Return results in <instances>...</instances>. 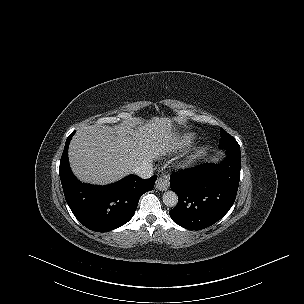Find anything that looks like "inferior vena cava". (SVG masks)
<instances>
[{
    "instance_id": "602c4592",
    "label": "inferior vena cava",
    "mask_w": 304,
    "mask_h": 304,
    "mask_svg": "<svg viewBox=\"0 0 304 304\" xmlns=\"http://www.w3.org/2000/svg\"><path fill=\"white\" fill-rule=\"evenodd\" d=\"M153 171V165L150 162H143L140 165L134 167L132 170L135 175L143 179L150 178L153 175Z\"/></svg>"
}]
</instances>
